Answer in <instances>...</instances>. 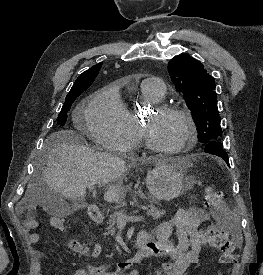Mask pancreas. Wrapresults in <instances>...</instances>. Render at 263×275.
Here are the masks:
<instances>
[{
  "label": "pancreas",
  "mask_w": 263,
  "mask_h": 275,
  "mask_svg": "<svg viewBox=\"0 0 263 275\" xmlns=\"http://www.w3.org/2000/svg\"><path fill=\"white\" fill-rule=\"evenodd\" d=\"M141 198L147 200L150 203V205L146 206L148 216H151L153 219H159L165 214L164 210H159L157 207L154 206V204L156 203V200L153 197L141 196ZM119 213L124 214L126 213V210L122 209L120 211H116L109 216V222H108L109 226L107 227V232L104 233L105 236L109 234L111 235L115 234L116 232L115 224L117 223V217Z\"/></svg>",
  "instance_id": "obj_1"
}]
</instances>
